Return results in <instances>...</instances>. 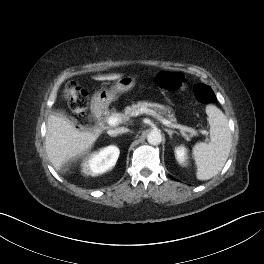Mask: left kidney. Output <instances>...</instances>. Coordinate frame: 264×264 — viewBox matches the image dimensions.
<instances>
[{
	"label": "left kidney",
	"mask_w": 264,
	"mask_h": 264,
	"mask_svg": "<svg viewBox=\"0 0 264 264\" xmlns=\"http://www.w3.org/2000/svg\"><path fill=\"white\" fill-rule=\"evenodd\" d=\"M175 157L179 164L185 165L187 156H186V148L184 146H178L175 149Z\"/></svg>",
	"instance_id": "5707ae66"
}]
</instances>
